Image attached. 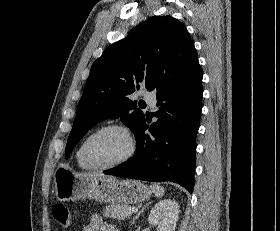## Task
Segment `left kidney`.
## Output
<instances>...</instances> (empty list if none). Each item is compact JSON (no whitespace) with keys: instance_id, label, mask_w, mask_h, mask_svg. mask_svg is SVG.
Returning <instances> with one entry per match:
<instances>
[{"instance_id":"5707ae66","label":"left kidney","mask_w":280,"mask_h":231,"mask_svg":"<svg viewBox=\"0 0 280 231\" xmlns=\"http://www.w3.org/2000/svg\"><path fill=\"white\" fill-rule=\"evenodd\" d=\"M179 211L175 199H161L151 209L148 221L152 225H157V231H174Z\"/></svg>"}]
</instances>
